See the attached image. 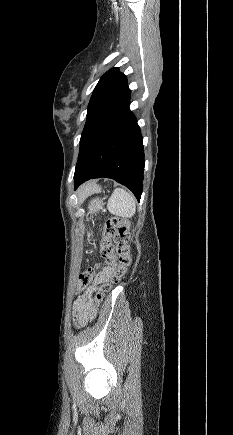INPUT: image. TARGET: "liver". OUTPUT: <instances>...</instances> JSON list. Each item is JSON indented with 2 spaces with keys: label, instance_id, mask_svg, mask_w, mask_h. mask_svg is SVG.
I'll list each match as a JSON object with an SVG mask.
<instances>
[{
  "label": "liver",
  "instance_id": "liver-1",
  "mask_svg": "<svg viewBox=\"0 0 233 435\" xmlns=\"http://www.w3.org/2000/svg\"><path fill=\"white\" fill-rule=\"evenodd\" d=\"M98 186L96 185V183L95 182H89V183H87L85 186H83L81 189H80V193L81 194H84V193H89V192H94V191H96V190H98Z\"/></svg>",
  "mask_w": 233,
  "mask_h": 435
}]
</instances>
